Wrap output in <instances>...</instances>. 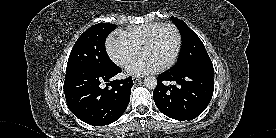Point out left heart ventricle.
<instances>
[{
    "label": "left heart ventricle",
    "mask_w": 276,
    "mask_h": 138,
    "mask_svg": "<svg viewBox=\"0 0 276 138\" xmlns=\"http://www.w3.org/2000/svg\"><path fill=\"white\" fill-rule=\"evenodd\" d=\"M175 48L174 32L171 29H164L153 44L141 50V54L152 57L162 66L170 60Z\"/></svg>",
    "instance_id": "1"
}]
</instances>
